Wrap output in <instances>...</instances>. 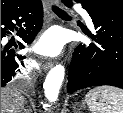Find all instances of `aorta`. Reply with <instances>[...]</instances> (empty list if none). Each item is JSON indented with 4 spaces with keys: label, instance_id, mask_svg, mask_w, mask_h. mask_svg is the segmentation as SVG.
<instances>
[{
    "label": "aorta",
    "instance_id": "762f6f07",
    "mask_svg": "<svg viewBox=\"0 0 123 113\" xmlns=\"http://www.w3.org/2000/svg\"><path fill=\"white\" fill-rule=\"evenodd\" d=\"M65 68L62 65L53 67L44 82L45 97L50 102H55L59 95V90L64 80Z\"/></svg>",
    "mask_w": 123,
    "mask_h": 113
}]
</instances>
